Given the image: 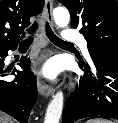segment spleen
Masks as SVG:
<instances>
[{
	"label": "spleen",
	"instance_id": "3e777b00",
	"mask_svg": "<svg viewBox=\"0 0 118 123\" xmlns=\"http://www.w3.org/2000/svg\"><path fill=\"white\" fill-rule=\"evenodd\" d=\"M86 123H113V122L104 118H93L89 119Z\"/></svg>",
	"mask_w": 118,
	"mask_h": 123
}]
</instances>
